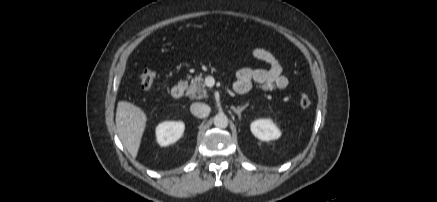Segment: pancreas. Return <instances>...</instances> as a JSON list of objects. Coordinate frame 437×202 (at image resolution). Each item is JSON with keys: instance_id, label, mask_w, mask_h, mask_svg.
Returning <instances> with one entry per match:
<instances>
[{"instance_id": "pancreas-1", "label": "pancreas", "mask_w": 437, "mask_h": 202, "mask_svg": "<svg viewBox=\"0 0 437 202\" xmlns=\"http://www.w3.org/2000/svg\"><path fill=\"white\" fill-rule=\"evenodd\" d=\"M186 95L191 99H202L207 97L206 85L202 75H198L191 80Z\"/></svg>"}]
</instances>
